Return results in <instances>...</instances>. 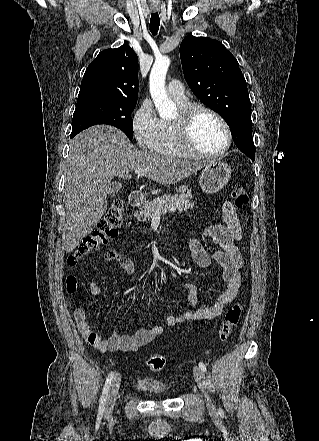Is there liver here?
I'll return each instance as SVG.
<instances>
[{
    "label": "liver",
    "instance_id": "6515ba94",
    "mask_svg": "<svg viewBox=\"0 0 319 441\" xmlns=\"http://www.w3.org/2000/svg\"><path fill=\"white\" fill-rule=\"evenodd\" d=\"M69 146L63 190L66 221L62 237L66 252L73 251L104 215L112 178L130 179V172L141 168L147 179L169 185L206 165L138 151L121 130L108 125L88 128Z\"/></svg>",
    "mask_w": 319,
    "mask_h": 441
}]
</instances>
